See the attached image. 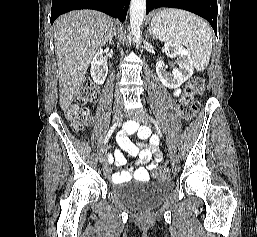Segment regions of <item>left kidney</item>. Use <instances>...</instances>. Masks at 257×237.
I'll return each instance as SVG.
<instances>
[{"label":"left kidney","mask_w":257,"mask_h":237,"mask_svg":"<svg viewBox=\"0 0 257 237\" xmlns=\"http://www.w3.org/2000/svg\"><path fill=\"white\" fill-rule=\"evenodd\" d=\"M164 50L167 56L177 58V68H174L172 73L167 71V65L158 61L155 69L161 83L167 87L176 89L187 81L193 74L194 68L189 52L176 43H165Z\"/></svg>","instance_id":"5707ae66"}]
</instances>
